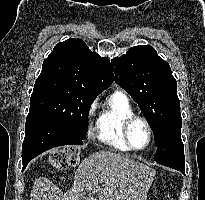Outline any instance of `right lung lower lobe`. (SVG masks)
Listing matches in <instances>:
<instances>
[{
    "instance_id": "right-lung-lower-lobe-1",
    "label": "right lung lower lobe",
    "mask_w": 205,
    "mask_h": 200,
    "mask_svg": "<svg viewBox=\"0 0 205 200\" xmlns=\"http://www.w3.org/2000/svg\"><path fill=\"white\" fill-rule=\"evenodd\" d=\"M25 127L22 145L23 170L33 158L48 149L62 145L83 144V140L77 138L59 122L37 111H29Z\"/></svg>"
}]
</instances>
